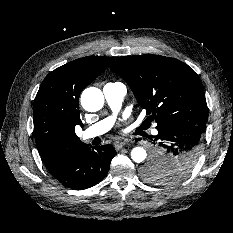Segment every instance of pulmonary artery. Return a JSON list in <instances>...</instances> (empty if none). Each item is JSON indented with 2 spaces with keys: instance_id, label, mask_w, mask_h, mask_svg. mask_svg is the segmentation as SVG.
<instances>
[{
  "instance_id": "obj_1",
  "label": "pulmonary artery",
  "mask_w": 233,
  "mask_h": 233,
  "mask_svg": "<svg viewBox=\"0 0 233 233\" xmlns=\"http://www.w3.org/2000/svg\"><path fill=\"white\" fill-rule=\"evenodd\" d=\"M103 94L114 115L109 116L85 129L83 131L84 139L100 136L111 129L115 121V114L119 111L123 103L126 94V87L119 82L107 83L103 87ZM154 133L156 134L157 131L154 130Z\"/></svg>"
}]
</instances>
